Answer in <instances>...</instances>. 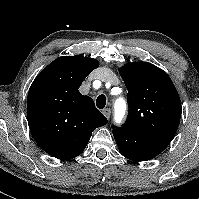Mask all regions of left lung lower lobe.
<instances>
[{"label": "left lung lower lobe", "mask_w": 199, "mask_h": 199, "mask_svg": "<svg viewBox=\"0 0 199 199\" xmlns=\"http://www.w3.org/2000/svg\"><path fill=\"white\" fill-rule=\"evenodd\" d=\"M113 135L120 153L133 161H147L160 154L169 143L136 131L118 127Z\"/></svg>", "instance_id": "obj_1"}]
</instances>
